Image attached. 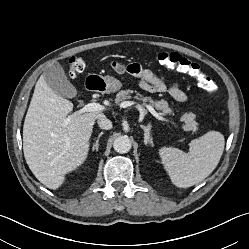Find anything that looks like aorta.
Listing matches in <instances>:
<instances>
[{"label": "aorta", "instance_id": "1", "mask_svg": "<svg viewBox=\"0 0 249 249\" xmlns=\"http://www.w3.org/2000/svg\"><path fill=\"white\" fill-rule=\"evenodd\" d=\"M131 147V140L127 136H119L113 143L114 150L120 154L129 152Z\"/></svg>", "mask_w": 249, "mask_h": 249}]
</instances>
